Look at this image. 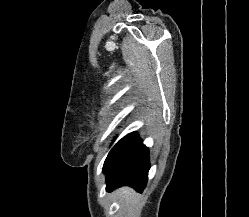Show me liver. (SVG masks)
I'll return each mask as SVG.
<instances>
[{
  "label": "liver",
  "instance_id": "obj_1",
  "mask_svg": "<svg viewBox=\"0 0 249 217\" xmlns=\"http://www.w3.org/2000/svg\"><path fill=\"white\" fill-rule=\"evenodd\" d=\"M120 195L122 196V198L127 200L134 195V192L129 188H123L120 190Z\"/></svg>",
  "mask_w": 249,
  "mask_h": 217
}]
</instances>
